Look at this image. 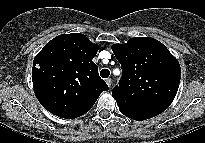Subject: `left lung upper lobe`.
<instances>
[{
  "instance_id": "left-lung-upper-lobe-1",
  "label": "left lung upper lobe",
  "mask_w": 205,
  "mask_h": 143,
  "mask_svg": "<svg viewBox=\"0 0 205 143\" xmlns=\"http://www.w3.org/2000/svg\"><path fill=\"white\" fill-rule=\"evenodd\" d=\"M111 48L122 68L119 86L112 90L117 105L156 108L172 103L179 87L181 69L178 60L161 42L136 37Z\"/></svg>"
}]
</instances>
